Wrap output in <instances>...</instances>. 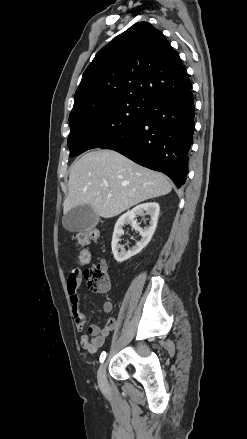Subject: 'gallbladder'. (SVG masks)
Returning <instances> with one entry per match:
<instances>
[{
  "label": "gallbladder",
  "instance_id": "1",
  "mask_svg": "<svg viewBox=\"0 0 247 439\" xmlns=\"http://www.w3.org/2000/svg\"><path fill=\"white\" fill-rule=\"evenodd\" d=\"M99 222V216L90 205H80L72 208L62 218L63 227L71 232L94 228Z\"/></svg>",
  "mask_w": 247,
  "mask_h": 439
}]
</instances>
